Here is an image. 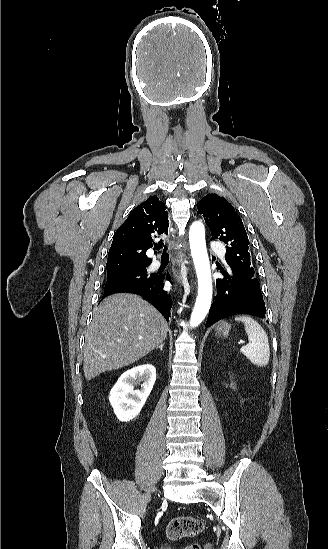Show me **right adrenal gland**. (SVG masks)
<instances>
[{
    "label": "right adrenal gland",
    "instance_id": "right-adrenal-gland-1",
    "mask_svg": "<svg viewBox=\"0 0 328 549\" xmlns=\"http://www.w3.org/2000/svg\"><path fill=\"white\" fill-rule=\"evenodd\" d=\"M163 347H164V343H162V345H159V347H157V349H160V351H163Z\"/></svg>",
    "mask_w": 328,
    "mask_h": 549
}]
</instances>
